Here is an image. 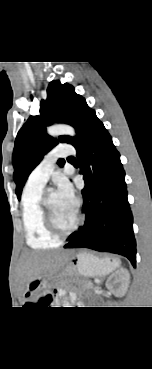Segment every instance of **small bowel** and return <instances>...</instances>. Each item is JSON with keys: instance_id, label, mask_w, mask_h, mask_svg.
<instances>
[{"instance_id": "obj_1", "label": "small bowel", "mask_w": 152, "mask_h": 369, "mask_svg": "<svg viewBox=\"0 0 152 369\" xmlns=\"http://www.w3.org/2000/svg\"><path fill=\"white\" fill-rule=\"evenodd\" d=\"M69 297H70V299H71L72 301H74V300H75V296H74L73 294H70V295H69Z\"/></svg>"}]
</instances>
